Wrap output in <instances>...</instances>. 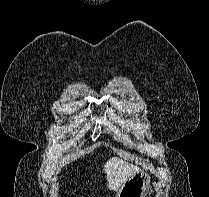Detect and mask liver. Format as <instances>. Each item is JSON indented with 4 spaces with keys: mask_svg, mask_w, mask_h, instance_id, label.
<instances>
[{
    "mask_svg": "<svg viewBox=\"0 0 209 197\" xmlns=\"http://www.w3.org/2000/svg\"><path fill=\"white\" fill-rule=\"evenodd\" d=\"M137 165L130 164L121 158L112 157L104 164L109 190H117L132 175L139 172Z\"/></svg>",
    "mask_w": 209,
    "mask_h": 197,
    "instance_id": "obj_1",
    "label": "liver"
}]
</instances>
